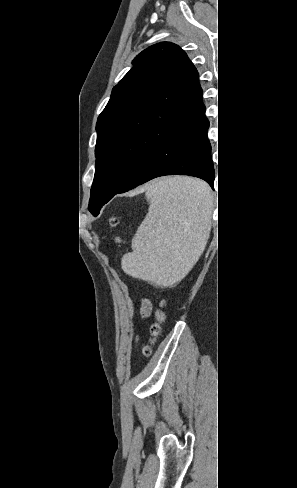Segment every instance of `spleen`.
Returning <instances> with one entry per match:
<instances>
[{"label": "spleen", "instance_id": "1", "mask_svg": "<svg viewBox=\"0 0 297 488\" xmlns=\"http://www.w3.org/2000/svg\"><path fill=\"white\" fill-rule=\"evenodd\" d=\"M149 210L122 258L128 275L159 285L180 280L203 248L210 223L212 194L208 185L189 177H168L146 188Z\"/></svg>", "mask_w": 297, "mask_h": 488}]
</instances>
